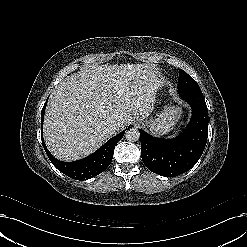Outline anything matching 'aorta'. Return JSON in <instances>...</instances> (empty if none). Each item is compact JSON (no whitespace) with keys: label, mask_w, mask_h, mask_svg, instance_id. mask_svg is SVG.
Returning a JSON list of instances; mask_svg holds the SVG:
<instances>
[{"label":"aorta","mask_w":247,"mask_h":247,"mask_svg":"<svg viewBox=\"0 0 247 247\" xmlns=\"http://www.w3.org/2000/svg\"><path fill=\"white\" fill-rule=\"evenodd\" d=\"M140 137V133L136 128H130L125 133V138L129 142H136Z\"/></svg>","instance_id":"762f6f07"}]
</instances>
